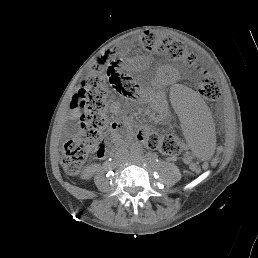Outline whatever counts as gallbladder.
<instances>
[{
	"label": "gallbladder",
	"instance_id": "1",
	"mask_svg": "<svg viewBox=\"0 0 258 258\" xmlns=\"http://www.w3.org/2000/svg\"><path fill=\"white\" fill-rule=\"evenodd\" d=\"M66 133L74 136L80 132L79 122L77 120H69L65 124Z\"/></svg>",
	"mask_w": 258,
	"mask_h": 258
}]
</instances>
